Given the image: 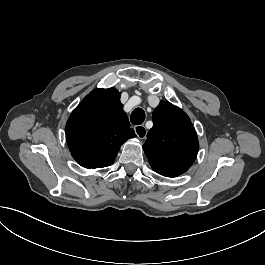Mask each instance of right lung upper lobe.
<instances>
[{"label": "right lung upper lobe", "instance_id": "1", "mask_svg": "<svg viewBox=\"0 0 265 265\" xmlns=\"http://www.w3.org/2000/svg\"><path fill=\"white\" fill-rule=\"evenodd\" d=\"M114 88L95 89L71 113L66 141L73 158L85 168L114 163L121 145L136 137Z\"/></svg>", "mask_w": 265, "mask_h": 265}]
</instances>
